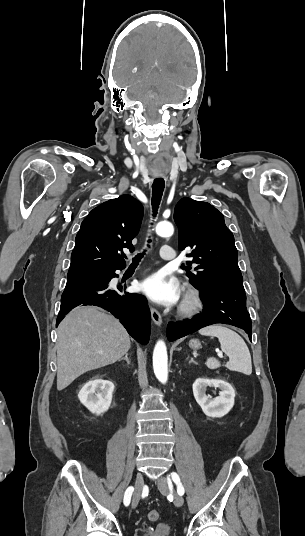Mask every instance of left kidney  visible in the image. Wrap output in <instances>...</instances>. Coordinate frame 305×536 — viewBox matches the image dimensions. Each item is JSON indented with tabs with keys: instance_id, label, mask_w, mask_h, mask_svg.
<instances>
[{
	"instance_id": "5707ae66",
	"label": "left kidney",
	"mask_w": 305,
	"mask_h": 536,
	"mask_svg": "<svg viewBox=\"0 0 305 536\" xmlns=\"http://www.w3.org/2000/svg\"><path fill=\"white\" fill-rule=\"evenodd\" d=\"M207 386H210V388H220L221 392H219V396L217 398L206 396ZM193 396L206 416H209V418H222L234 406L235 390L225 380L197 378L193 384Z\"/></svg>"
}]
</instances>
